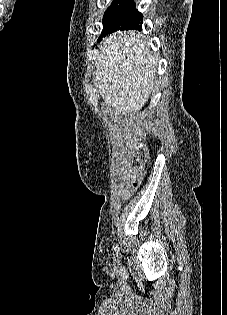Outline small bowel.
I'll list each match as a JSON object with an SVG mask.
<instances>
[{"label":"small bowel","mask_w":227,"mask_h":315,"mask_svg":"<svg viewBox=\"0 0 227 315\" xmlns=\"http://www.w3.org/2000/svg\"><path fill=\"white\" fill-rule=\"evenodd\" d=\"M133 191H134V187L131 186L130 184H125V185L121 186L119 189L120 194H122L123 196H128Z\"/></svg>","instance_id":"small-bowel-1"}]
</instances>
